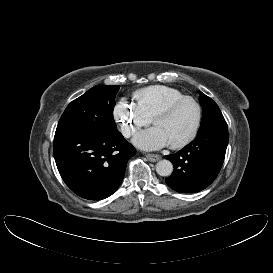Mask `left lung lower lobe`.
Masks as SVG:
<instances>
[{"label": "left lung lower lobe", "instance_id": "obj_1", "mask_svg": "<svg viewBox=\"0 0 273 273\" xmlns=\"http://www.w3.org/2000/svg\"><path fill=\"white\" fill-rule=\"evenodd\" d=\"M228 140V128L200 132L183 150L165 156L174 166L167 185L179 193H196L208 187L222 167Z\"/></svg>", "mask_w": 273, "mask_h": 273}]
</instances>
